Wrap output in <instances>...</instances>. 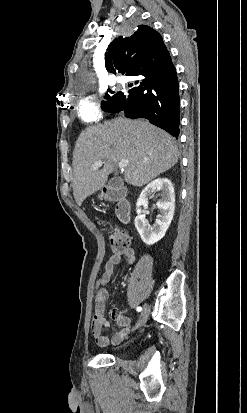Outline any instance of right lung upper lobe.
Instances as JSON below:
<instances>
[{
	"instance_id": "cb5924a9",
	"label": "right lung upper lobe",
	"mask_w": 247,
	"mask_h": 413,
	"mask_svg": "<svg viewBox=\"0 0 247 413\" xmlns=\"http://www.w3.org/2000/svg\"><path fill=\"white\" fill-rule=\"evenodd\" d=\"M170 60L161 35L146 25H138L130 37L114 39L105 53L106 69L127 76L150 73Z\"/></svg>"
}]
</instances>
